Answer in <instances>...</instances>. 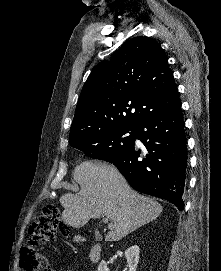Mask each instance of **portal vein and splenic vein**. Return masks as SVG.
Wrapping results in <instances>:
<instances>
[{
  "mask_svg": "<svg viewBox=\"0 0 221 271\" xmlns=\"http://www.w3.org/2000/svg\"><path fill=\"white\" fill-rule=\"evenodd\" d=\"M103 221H104V223H109L108 215H105V217H103Z\"/></svg>",
  "mask_w": 221,
  "mask_h": 271,
  "instance_id": "portal-vein-and-splenic-vein-1",
  "label": "portal vein and splenic vein"
}]
</instances>
